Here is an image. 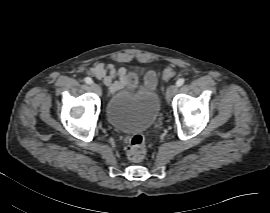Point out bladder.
I'll use <instances>...</instances> for the list:
<instances>
[{
	"instance_id": "1",
	"label": "bladder",
	"mask_w": 270,
	"mask_h": 213,
	"mask_svg": "<svg viewBox=\"0 0 270 213\" xmlns=\"http://www.w3.org/2000/svg\"><path fill=\"white\" fill-rule=\"evenodd\" d=\"M160 99L155 90L130 92L122 89L115 92L106 102L107 122L126 133H142L150 130L157 122Z\"/></svg>"
}]
</instances>
